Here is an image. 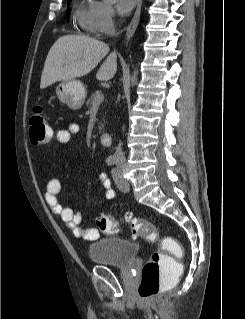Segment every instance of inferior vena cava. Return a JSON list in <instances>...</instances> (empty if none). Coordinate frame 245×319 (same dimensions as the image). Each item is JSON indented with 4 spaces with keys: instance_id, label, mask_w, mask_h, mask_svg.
<instances>
[{
    "instance_id": "obj_1",
    "label": "inferior vena cava",
    "mask_w": 245,
    "mask_h": 319,
    "mask_svg": "<svg viewBox=\"0 0 245 319\" xmlns=\"http://www.w3.org/2000/svg\"><path fill=\"white\" fill-rule=\"evenodd\" d=\"M122 143L119 142L117 148H116V152H115V158H116V162L118 164H122L125 162V156H124V153L122 151Z\"/></svg>"
}]
</instances>
